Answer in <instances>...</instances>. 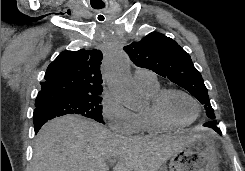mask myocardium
Segmentation results:
<instances>
[{
  "label": "myocardium",
  "mask_w": 245,
  "mask_h": 171,
  "mask_svg": "<svg viewBox=\"0 0 245 171\" xmlns=\"http://www.w3.org/2000/svg\"><path fill=\"white\" fill-rule=\"evenodd\" d=\"M173 93H178V94H181L187 97L195 106L196 115L191 121L187 123H177L168 116L166 112V108H165V103H166V99L168 98V96ZM149 107H150V110L153 116L156 118L157 121H159L161 124H163L164 126L168 128H174V129L186 128V127L191 126L198 120V118L200 117V113H201L200 104L194 96H192L191 94H189L188 92L180 88H174V87L161 89L151 99Z\"/></svg>",
  "instance_id": "1"
}]
</instances>
